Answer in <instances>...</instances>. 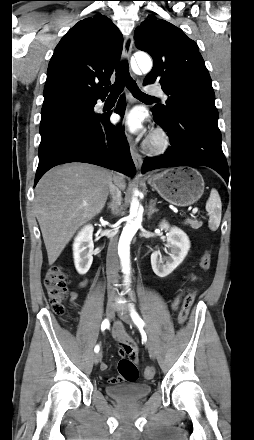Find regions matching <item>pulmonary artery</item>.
I'll return each mask as SVG.
<instances>
[{
	"label": "pulmonary artery",
	"mask_w": 254,
	"mask_h": 440,
	"mask_svg": "<svg viewBox=\"0 0 254 440\" xmlns=\"http://www.w3.org/2000/svg\"><path fill=\"white\" fill-rule=\"evenodd\" d=\"M146 93L148 95H158V96H161L164 100L167 99V96L163 93L161 88L158 87V86H152V87L146 88Z\"/></svg>",
	"instance_id": "pulmonary-artery-1"
}]
</instances>
